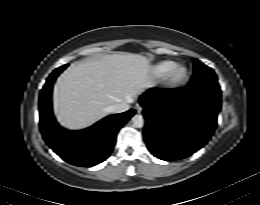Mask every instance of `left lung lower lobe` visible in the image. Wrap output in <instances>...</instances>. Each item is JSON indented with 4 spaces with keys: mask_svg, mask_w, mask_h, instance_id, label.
I'll return each mask as SVG.
<instances>
[{
    "mask_svg": "<svg viewBox=\"0 0 260 205\" xmlns=\"http://www.w3.org/2000/svg\"><path fill=\"white\" fill-rule=\"evenodd\" d=\"M139 102L144 108L149 151L161 160L173 161L192 155L208 142L221 109V92L189 85L151 88Z\"/></svg>",
    "mask_w": 260,
    "mask_h": 205,
    "instance_id": "1",
    "label": "left lung lower lobe"
}]
</instances>
